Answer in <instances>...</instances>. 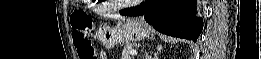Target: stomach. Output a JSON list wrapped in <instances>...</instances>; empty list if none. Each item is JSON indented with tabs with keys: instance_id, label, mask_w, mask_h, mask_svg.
Segmentation results:
<instances>
[{
	"instance_id": "1",
	"label": "stomach",
	"mask_w": 261,
	"mask_h": 59,
	"mask_svg": "<svg viewBox=\"0 0 261 59\" xmlns=\"http://www.w3.org/2000/svg\"><path fill=\"white\" fill-rule=\"evenodd\" d=\"M151 34L150 28L139 19L121 21L115 27L104 25L99 28L97 38L101 44L112 49L120 43L144 40Z\"/></svg>"
}]
</instances>
